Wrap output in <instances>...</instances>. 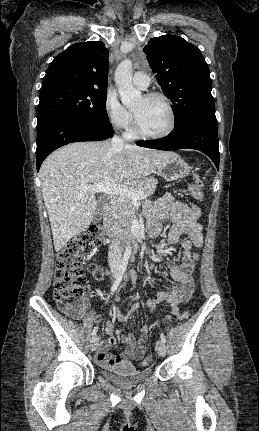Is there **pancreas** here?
<instances>
[{
    "label": "pancreas",
    "mask_w": 259,
    "mask_h": 431,
    "mask_svg": "<svg viewBox=\"0 0 259 431\" xmlns=\"http://www.w3.org/2000/svg\"><path fill=\"white\" fill-rule=\"evenodd\" d=\"M158 181L155 178H144L132 183L131 187L142 191L144 196L142 199L154 194ZM134 216V207L132 199L121 197L118 200L116 209L112 215L114 222L119 230L125 232L128 230Z\"/></svg>",
    "instance_id": "obj_1"
}]
</instances>
